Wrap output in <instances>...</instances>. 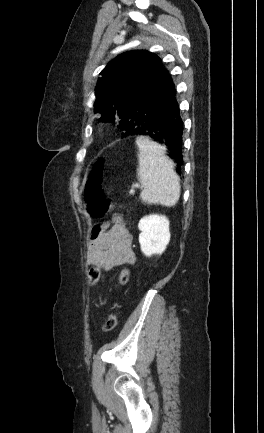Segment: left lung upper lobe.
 <instances>
[{
	"mask_svg": "<svg viewBox=\"0 0 264 433\" xmlns=\"http://www.w3.org/2000/svg\"><path fill=\"white\" fill-rule=\"evenodd\" d=\"M161 59L148 51L125 52L101 71L96 86L94 112L100 121L114 122L116 115L124 117L141 92L163 71ZM122 136L126 137L121 127Z\"/></svg>",
	"mask_w": 264,
	"mask_h": 433,
	"instance_id": "1",
	"label": "left lung upper lobe"
}]
</instances>
